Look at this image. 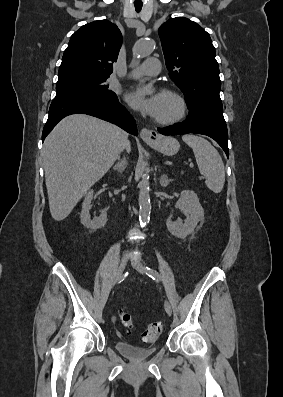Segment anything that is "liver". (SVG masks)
Listing matches in <instances>:
<instances>
[{
    "label": "liver",
    "instance_id": "6515ba94",
    "mask_svg": "<svg viewBox=\"0 0 283 397\" xmlns=\"http://www.w3.org/2000/svg\"><path fill=\"white\" fill-rule=\"evenodd\" d=\"M124 134L117 126L84 114L70 115L56 125L42 152L53 219L68 217L87 190L106 174L124 148Z\"/></svg>",
    "mask_w": 283,
    "mask_h": 397
}]
</instances>
